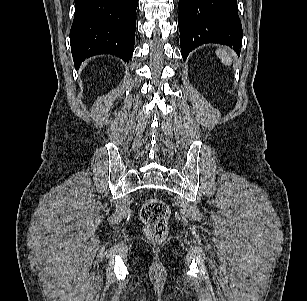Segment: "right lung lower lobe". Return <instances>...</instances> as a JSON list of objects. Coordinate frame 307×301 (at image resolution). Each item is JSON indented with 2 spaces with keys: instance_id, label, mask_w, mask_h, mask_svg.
<instances>
[{
  "instance_id": "right-lung-lower-lobe-1",
  "label": "right lung lower lobe",
  "mask_w": 307,
  "mask_h": 301,
  "mask_svg": "<svg viewBox=\"0 0 307 301\" xmlns=\"http://www.w3.org/2000/svg\"><path fill=\"white\" fill-rule=\"evenodd\" d=\"M138 0H75L70 31L75 67L97 54L110 53L128 62L135 44Z\"/></svg>"
}]
</instances>
